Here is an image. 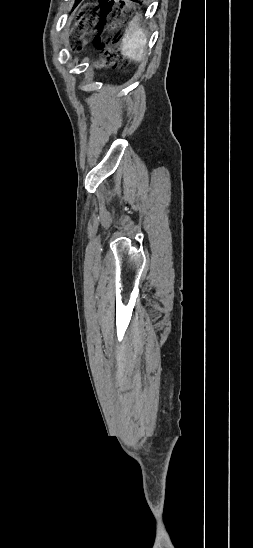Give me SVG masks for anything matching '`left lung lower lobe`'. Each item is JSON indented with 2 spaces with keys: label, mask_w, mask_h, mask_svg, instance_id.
Here are the masks:
<instances>
[{
  "label": "left lung lower lobe",
  "mask_w": 253,
  "mask_h": 548,
  "mask_svg": "<svg viewBox=\"0 0 253 548\" xmlns=\"http://www.w3.org/2000/svg\"><path fill=\"white\" fill-rule=\"evenodd\" d=\"M79 1H81V0H77L76 3H78Z\"/></svg>",
  "instance_id": "left-lung-lower-lobe-1"
}]
</instances>
